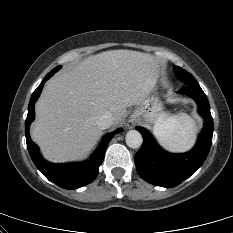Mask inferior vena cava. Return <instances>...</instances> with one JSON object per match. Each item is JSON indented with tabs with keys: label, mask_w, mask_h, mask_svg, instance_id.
<instances>
[{
	"label": "inferior vena cava",
	"mask_w": 233,
	"mask_h": 233,
	"mask_svg": "<svg viewBox=\"0 0 233 233\" xmlns=\"http://www.w3.org/2000/svg\"><path fill=\"white\" fill-rule=\"evenodd\" d=\"M114 117L110 112H106L99 117L96 124L101 129L104 130L113 124Z\"/></svg>",
	"instance_id": "602c4592"
}]
</instances>
